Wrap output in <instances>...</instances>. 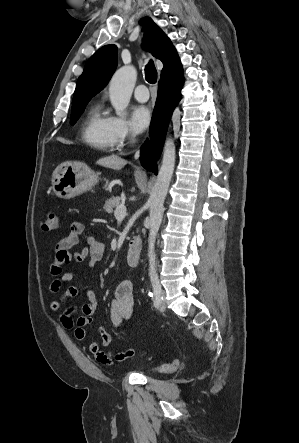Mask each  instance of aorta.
I'll list each match as a JSON object with an SVG mask.
<instances>
[{
    "label": "aorta",
    "instance_id": "762f6f07",
    "mask_svg": "<svg viewBox=\"0 0 299 443\" xmlns=\"http://www.w3.org/2000/svg\"><path fill=\"white\" fill-rule=\"evenodd\" d=\"M137 71L133 66H124L118 69L109 85V97L118 116H122L127 108L135 86ZM174 139L168 136L163 149L162 165L154 187L148 199L150 212V231L148 237V258L150 274L156 272L155 240L162 223L164 200L168 192L170 181L175 167Z\"/></svg>",
    "mask_w": 299,
    "mask_h": 443
}]
</instances>
